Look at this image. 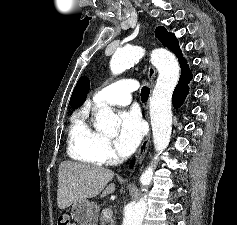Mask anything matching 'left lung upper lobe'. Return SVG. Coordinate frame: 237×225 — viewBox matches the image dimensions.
Returning a JSON list of instances; mask_svg holds the SVG:
<instances>
[{"label": "left lung upper lobe", "mask_w": 237, "mask_h": 225, "mask_svg": "<svg viewBox=\"0 0 237 225\" xmlns=\"http://www.w3.org/2000/svg\"><path fill=\"white\" fill-rule=\"evenodd\" d=\"M155 33V36L162 42V44L170 48L176 54L182 68L181 71H189V66L187 65V61L182 56L178 40L176 39L175 35L173 33H168L162 26L157 27Z\"/></svg>", "instance_id": "5c2ea615"}]
</instances>
